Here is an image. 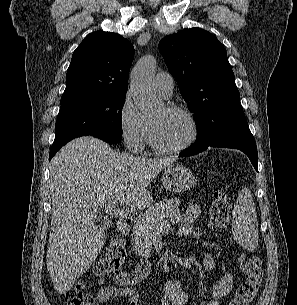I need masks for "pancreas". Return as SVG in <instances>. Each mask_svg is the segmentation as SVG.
Wrapping results in <instances>:
<instances>
[{"instance_id": "cf45deb5", "label": "pancreas", "mask_w": 297, "mask_h": 305, "mask_svg": "<svg viewBox=\"0 0 297 305\" xmlns=\"http://www.w3.org/2000/svg\"><path fill=\"white\" fill-rule=\"evenodd\" d=\"M178 199H164L152 205L134 220V248L139 256H150L152 238L159 230L160 223L169 220L171 224L182 221Z\"/></svg>"}]
</instances>
